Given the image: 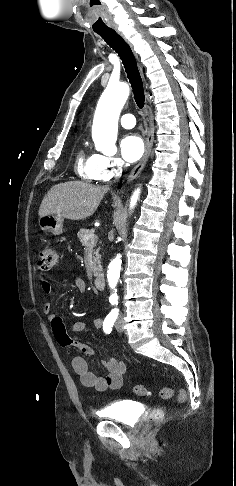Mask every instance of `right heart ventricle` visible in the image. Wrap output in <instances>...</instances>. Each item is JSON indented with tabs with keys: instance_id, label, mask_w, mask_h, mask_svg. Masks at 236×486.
Segmentation results:
<instances>
[{
	"instance_id": "e07e8e85",
	"label": "right heart ventricle",
	"mask_w": 236,
	"mask_h": 486,
	"mask_svg": "<svg viewBox=\"0 0 236 486\" xmlns=\"http://www.w3.org/2000/svg\"><path fill=\"white\" fill-rule=\"evenodd\" d=\"M94 155L87 154L83 148H80L75 158V171L85 180H95L93 174Z\"/></svg>"
}]
</instances>
